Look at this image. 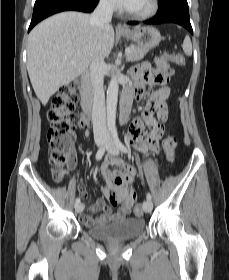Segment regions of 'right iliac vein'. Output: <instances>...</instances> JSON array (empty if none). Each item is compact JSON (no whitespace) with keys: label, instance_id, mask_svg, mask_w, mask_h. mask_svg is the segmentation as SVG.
I'll return each mask as SVG.
<instances>
[{"label":"right iliac vein","instance_id":"obj_1","mask_svg":"<svg viewBox=\"0 0 229 280\" xmlns=\"http://www.w3.org/2000/svg\"><path fill=\"white\" fill-rule=\"evenodd\" d=\"M96 144H97V146L103 145L104 144V139L103 138L97 139ZM83 209H84V204L83 203H78V204L75 205V210H76L77 213L82 212Z\"/></svg>","mask_w":229,"mask_h":280}]
</instances>
